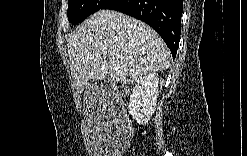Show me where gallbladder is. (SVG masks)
Listing matches in <instances>:
<instances>
[{
	"instance_id": "gallbladder-1",
	"label": "gallbladder",
	"mask_w": 247,
	"mask_h": 156,
	"mask_svg": "<svg viewBox=\"0 0 247 156\" xmlns=\"http://www.w3.org/2000/svg\"><path fill=\"white\" fill-rule=\"evenodd\" d=\"M113 83L112 79L106 75L103 79H102V85H111Z\"/></svg>"
}]
</instances>
